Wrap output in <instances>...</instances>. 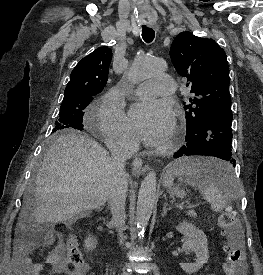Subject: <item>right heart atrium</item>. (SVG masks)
I'll list each match as a JSON object with an SVG mask.
<instances>
[{"instance_id":"right-heart-atrium-1","label":"right heart atrium","mask_w":263,"mask_h":275,"mask_svg":"<svg viewBox=\"0 0 263 275\" xmlns=\"http://www.w3.org/2000/svg\"><path fill=\"white\" fill-rule=\"evenodd\" d=\"M95 126L97 133L111 144L133 147L136 143L122 110L111 94L101 99L96 109Z\"/></svg>"}]
</instances>
